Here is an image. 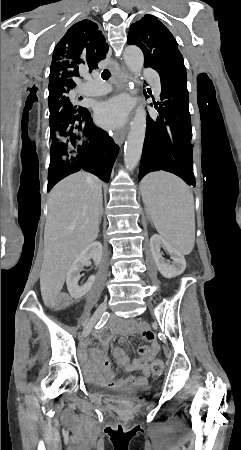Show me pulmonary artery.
Segmentation results:
<instances>
[{
  "mask_svg": "<svg viewBox=\"0 0 241 450\" xmlns=\"http://www.w3.org/2000/svg\"><path fill=\"white\" fill-rule=\"evenodd\" d=\"M158 71H144L142 73V78L145 80L147 84H150L151 88H153V93L156 96L161 95V83L158 82ZM88 86L92 87L94 92H108L110 90V85L105 83L103 78H89Z\"/></svg>",
  "mask_w": 241,
  "mask_h": 450,
  "instance_id": "1",
  "label": "pulmonary artery"
}]
</instances>
